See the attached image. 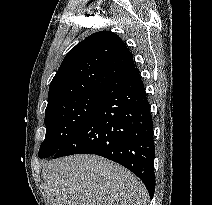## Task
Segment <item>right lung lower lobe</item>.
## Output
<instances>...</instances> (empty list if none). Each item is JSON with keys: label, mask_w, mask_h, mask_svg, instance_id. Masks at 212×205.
<instances>
[{"label": "right lung lower lobe", "mask_w": 212, "mask_h": 205, "mask_svg": "<svg viewBox=\"0 0 212 205\" xmlns=\"http://www.w3.org/2000/svg\"><path fill=\"white\" fill-rule=\"evenodd\" d=\"M96 154L136 174L150 198L155 190L153 121L139 70L131 68L102 91L93 112L54 154Z\"/></svg>", "instance_id": "obj_1"}]
</instances>
